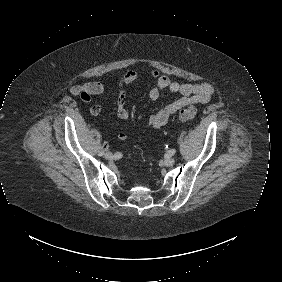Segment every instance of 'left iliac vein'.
Returning a JSON list of instances; mask_svg holds the SVG:
<instances>
[{
  "label": "left iliac vein",
  "instance_id": "left-iliac-vein-1",
  "mask_svg": "<svg viewBox=\"0 0 282 282\" xmlns=\"http://www.w3.org/2000/svg\"><path fill=\"white\" fill-rule=\"evenodd\" d=\"M174 163H175V159L173 157H171V156H167L164 159V165L165 166H172Z\"/></svg>",
  "mask_w": 282,
  "mask_h": 282
}]
</instances>
